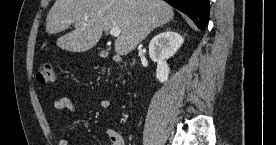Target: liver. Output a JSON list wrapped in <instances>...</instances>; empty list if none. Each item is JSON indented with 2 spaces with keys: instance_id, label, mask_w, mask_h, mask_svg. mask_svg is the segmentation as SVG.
Returning <instances> with one entry per match:
<instances>
[{
  "instance_id": "liver-1",
  "label": "liver",
  "mask_w": 276,
  "mask_h": 145,
  "mask_svg": "<svg viewBox=\"0 0 276 145\" xmlns=\"http://www.w3.org/2000/svg\"><path fill=\"white\" fill-rule=\"evenodd\" d=\"M173 8L163 0H56L46 19V32L74 30L57 39V46L84 52L95 46L104 31L120 28L115 52L133 51L150 32L172 20Z\"/></svg>"
}]
</instances>
